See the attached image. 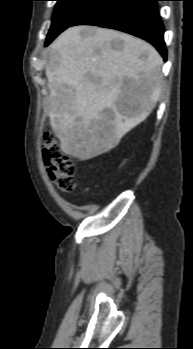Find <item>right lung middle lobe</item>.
I'll list each match as a JSON object with an SVG mask.
<instances>
[{
	"label": "right lung middle lobe",
	"instance_id": "obj_1",
	"mask_svg": "<svg viewBox=\"0 0 193 349\" xmlns=\"http://www.w3.org/2000/svg\"><path fill=\"white\" fill-rule=\"evenodd\" d=\"M57 4L52 18L46 46L63 30L71 26L80 16L100 0H56Z\"/></svg>",
	"mask_w": 193,
	"mask_h": 349
}]
</instances>
